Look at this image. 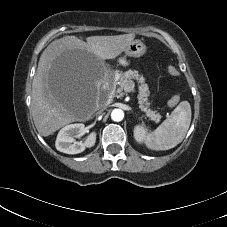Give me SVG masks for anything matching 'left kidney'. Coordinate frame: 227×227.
Listing matches in <instances>:
<instances>
[{
    "label": "left kidney",
    "mask_w": 227,
    "mask_h": 227,
    "mask_svg": "<svg viewBox=\"0 0 227 227\" xmlns=\"http://www.w3.org/2000/svg\"><path fill=\"white\" fill-rule=\"evenodd\" d=\"M146 129L142 125H136L134 128V138L138 143L145 140Z\"/></svg>",
    "instance_id": "5707ae66"
}]
</instances>
